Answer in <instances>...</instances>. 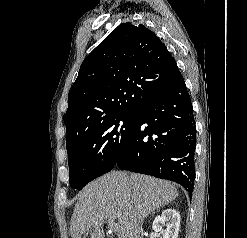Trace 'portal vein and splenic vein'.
Wrapping results in <instances>:
<instances>
[{
	"instance_id": "1",
	"label": "portal vein and splenic vein",
	"mask_w": 247,
	"mask_h": 238,
	"mask_svg": "<svg viewBox=\"0 0 247 238\" xmlns=\"http://www.w3.org/2000/svg\"><path fill=\"white\" fill-rule=\"evenodd\" d=\"M108 226L112 232H117L119 230V224L114 221H108Z\"/></svg>"
}]
</instances>
